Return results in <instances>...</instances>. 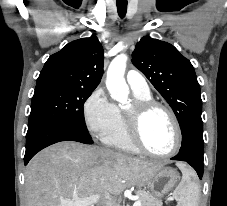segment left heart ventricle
I'll list each match as a JSON object with an SVG mask.
<instances>
[{"label": "left heart ventricle", "mask_w": 227, "mask_h": 206, "mask_svg": "<svg viewBox=\"0 0 227 206\" xmlns=\"http://www.w3.org/2000/svg\"><path fill=\"white\" fill-rule=\"evenodd\" d=\"M142 138L153 152L167 153L175 144V129L169 116L161 109H154L145 118Z\"/></svg>", "instance_id": "1"}]
</instances>
